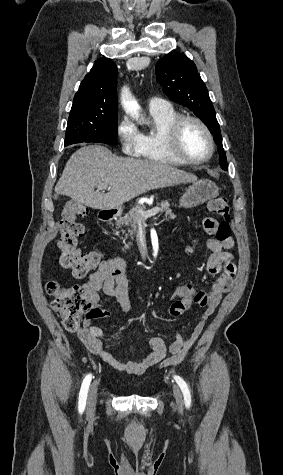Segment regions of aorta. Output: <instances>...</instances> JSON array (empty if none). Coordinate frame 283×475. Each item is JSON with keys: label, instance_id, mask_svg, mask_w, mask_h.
Instances as JSON below:
<instances>
[{"label": "aorta", "instance_id": "1", "mask_svg": "<svg viewBox=\"0 0 283 475\" xmlns=\"http://www.w3.org/2000/svg\"><path fill=\"white\" fill-rule=\"evenodd\" d=\"M121 98H122V105H123L125 111L127 113H129L130 115L138 118L139 115H140V113H139L140 106L132 98V96H131V94H130L127 87H124L122 89Z\"/></svg>", "mask_w": 283, "mask_h": 475}]
</instances>
